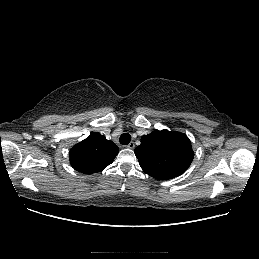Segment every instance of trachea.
I'll use <instances>...</instances> for the list:
<instances>
[{"label":"trachea","mask_w":259,"mask_h":259,"mask_svg":"<svg viewBox=\"0 0 259 259\" xmlns=\"http://www.w3.org/2000/svg\"><path fill=\"white\" fill-rule=\"evenodd\" d=\"M122 145H128L131 141V135L129 133H123L119 139Z\"/></svg>","instance_id":"3493384b"}]
</instances>
